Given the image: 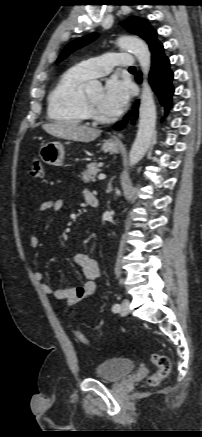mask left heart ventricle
Returning a JSON list of instances; mask_svg holds the SVG:
<instances>
[{"label": "left heart ventricle", "instance_id": "1", "mask_svg": "<svg viewBox=\"0 0 202 437\" xmlns=\"http://www.w3.org/2000/svg\"><path fill=\"white\" fill-rule=\"evenodd\" d=\"M89 100L95 104L100 110V103L102 100L103 93L102 91H93L86 94Z\"/></svg>", "mask_w": 202, "mask_h": 437}]
</instances>
